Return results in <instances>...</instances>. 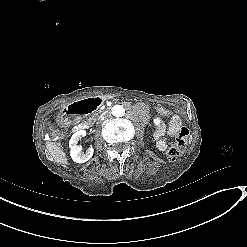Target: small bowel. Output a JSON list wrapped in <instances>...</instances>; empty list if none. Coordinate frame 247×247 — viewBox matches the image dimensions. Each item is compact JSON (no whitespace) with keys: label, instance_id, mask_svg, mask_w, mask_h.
<instances>
[{"label":"small bowel","instance_id":"obj_1","mask_svg":"<svg viewBox=\"0 0 247 247\" xmlns=\"http://www.w3.org/2000/svg\"><path fill=\"white\" fill-rule=\"evenodd\" d=\"M182 122L179 116L173 115L169 123L168 135L175 136L179 133ZM156 146L159 150L164 151L167 148V140L161 134L156 135Z\"/></svg>","mask_w":247,"mask_h":247}]
</instances>
